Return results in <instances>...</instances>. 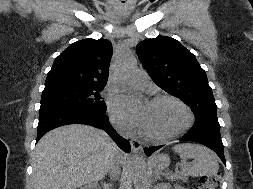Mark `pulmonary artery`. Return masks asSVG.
I'll return each mask as SVG.
<instances>
[{"label": "pulmonary artery", "instance_id": "e3ab8cb5", "mask_svg": "<svg viewBox=\"0 0 253 189\" xmlns=\"http://www.w3.org/2000/svg\"><path fill=\"white\" fill-rule=\"evenodd\" d=\"M132 82L139 87H147L150 85V80L147 74L137 72L132 76Z\"/></svg>", "mask_w": 253, "mask_h": 189}]
</instances>
